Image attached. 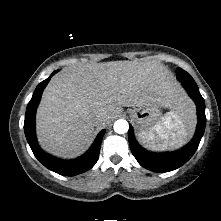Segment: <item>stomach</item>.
Listing matches in <instances>:
<instances>
[{
    "label": "stomach",
    "instance_id": "0dacf381",
    "mask_svg": "<svg viewBox=\"0 0 221 221\" xmlns=\"http://www.w3.org/2000/svg\"><path fill=\"white\" fill-rule=\"evenodd\" d=\"M161 104L151 103L148 105L136 107L129 111L130 118L138 129V134H143L148 136L152 134L153 142L155 144L162 143L158 137L156 128L163 121V116L161 112ZM152 140L147 139L146 143H151Z\"/></svg>",
    "mask_w": 221,
    "mask_h": 221
}]
</instances>
